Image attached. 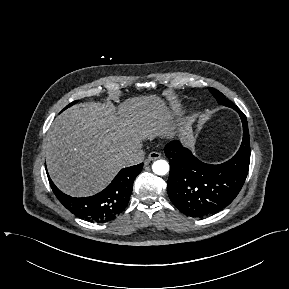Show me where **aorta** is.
<instances>
[{
  "label": "aorta",
  "instance_id": "aorta-1",
  "mask_svg": "<svg viewBox=\"0 0 289 289\" xmlns=\"http://www.w3.org/2000/svg\"><path fill=\"white\" fill-rule=\"evenodd\" d=\"M152 170L157 175H165L169 171V164L165 160H157L153 163Z\"/></svg>",
  "mask_w": 289,
  "mask_h": 289
}]
</instances>
